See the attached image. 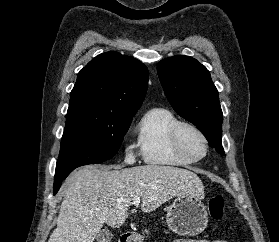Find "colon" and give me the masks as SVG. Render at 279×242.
<instances>
[{
  "label": "colon",
  "instance_id": "5ec220e1",
  "mask_svg": "<svg viewBox=\"0 0 279 242\" xmlns=\"http://www.w3.org/2000/svg\"><path fill=\"white\" fill-rule=\"evenodd\" d=\"M209 215L213 220H221L224 216V199L221 195H214L208 201Z\"/></svg>",
  "mask_w": 279,
  "mask_h": 242
}]
</instances>
